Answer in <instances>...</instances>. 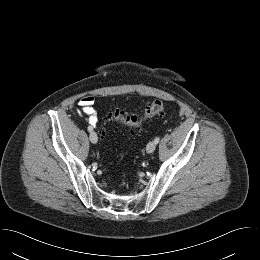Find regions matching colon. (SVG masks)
I'll use <instances>...</instances> for the list:
<instances>
[{"label":"colon","mask_w":260,"mask_h":260,"mask_svg":"<svg viewBox=\"0 0 260 260\" xmlns=\"http://www.w3.org/2000/svg\"><path fill=\"white\" fill-rule=\"evenodd\" d=\"M163 110V103L160 100H153L147 104L140 115H129L118 109H113L104 114V119L107 122H117L123 124L131 129H141L144 121L161 115Z\"/></svg>","instance_id":"obj_1"}]
</instances>
